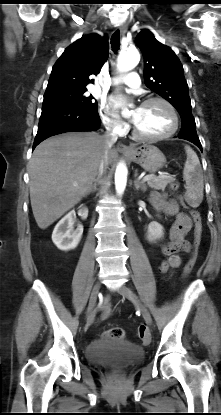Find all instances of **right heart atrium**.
I'll use <instances>...</instances> for the list:
<instances>
[{"instance_id":"d8ad5b80","label":"right heart atrium","mask_w":221,"mask_h":415,"mask_svg":"<svg viewBox=\"0 0 221 415\" xmlns=\"http://www.w3.org/2000/svg\"><path fill=\"white\" fill-rule=\"evenodd\" d=\"M100 118L105 129L112 135H121L127 129V125L122 120L103 106L100 108Z\"/></svg>"}]
</instances>
